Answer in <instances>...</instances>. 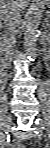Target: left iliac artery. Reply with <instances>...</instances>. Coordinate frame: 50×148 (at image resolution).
Returning a JSON list of instances; mask_svg holds the SVG:
<instances>
[{"label":"left iliac artery","instance_id":"44dca946","mask_svg":"<svg viewBox=\"0 0 50 148\" xmlns=\"http://www.w3.org/2000/svg\"><path fill=\"white\" fill-rule=\"evenodd\" d=\"M37 124L39 125V126H41L42 128H44L43 126H44V121L42 120V119H37Z\"/></svg>","mask_w":50,"mask_h":148}]
</instances>
